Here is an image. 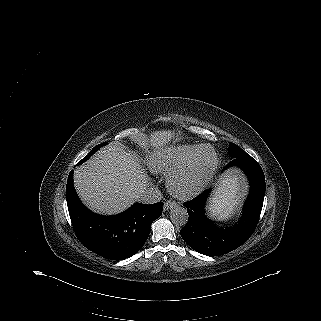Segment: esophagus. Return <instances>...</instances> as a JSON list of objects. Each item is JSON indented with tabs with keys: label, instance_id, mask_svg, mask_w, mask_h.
<instances>
[{
	"label": "esophagus",
	"instance_id": "1",
	"mask_svg": "<svg viewBox=\"0 0 321 321\" xmlns=\"http://www.w3.org/2000/svg\"><path fill=\"white\" fill-rule=\"evenodd\" d=\"M177 206V203L176 202H174V201H166L165 203H164V210H170V209H172V208H174V207H176Z\"/></svg>",
	"mask_w": 321,
	"mask_h": 321
}]
</instances>
